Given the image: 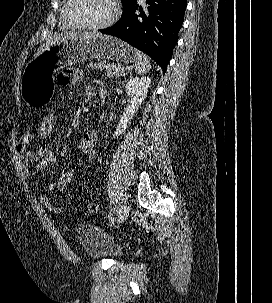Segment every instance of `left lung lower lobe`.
I'll list each match as a JSON object with an SVG mask.
<instances>
[{"instance_id":"obj_1","label":"left lung lower lobe","mask_w":272,"mask_h":303,"mask_svg":"<svg viewBox=\"0 0 272 303\" xmlns=\"http://www.w3.org/2000/svg\"><path fill=\"white\" fill-rule=\"evenodd\" d=\"M146 4L148 7L143 10L135 3L123 12L114 26L99 31L145 52L165 72L178 41L187 0H146ZM137 10L140 11L138 15Z\"/></svg>"}]
</instances>
